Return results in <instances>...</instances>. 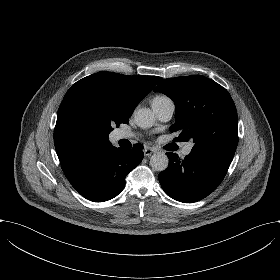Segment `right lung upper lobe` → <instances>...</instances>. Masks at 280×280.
I'll return each mask as SVG.
<instances>
[{
  "label": "right lung upper lobe",
  "mask_w": 280,
  "mask_h": 280,
  "mask_svg": "<svg viewBox=\"0 0 280 280\" xmlns=\"http://www.w3.org/2000/svg\"><path fill=\"white\" fill-rule=\"evenodd\" d=\"M161 79L98 72L73 84L60 104L54 129L62 170L93 150L112 145L111 125L128 123L135 107Z\"/></svg>",
  "instance_id": "right-lung-upper-lobe-1"
}]
</instances>
